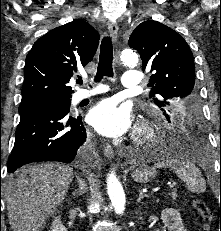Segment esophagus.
Instances as JSON below:
<instances>
[{
	"mask_svg": "<svg viewBox=\"0 0 221 231\" xmlns=\"http://www.w3.org/2000/svg\"><path fill=\"white\" fill-rule=\"evenodd\" d=\"M108 30H109V34H110L113 42H116L117 37H118V25H117V23L116 22H110L108 24ZM103 152H104V155L109 159H112L115 155L113 147L108 143L103 144Z\"/></svg>",
	"mask_w": 221,
	"mask_h": 231,
	"instance_id": "34e87169",
	"label": "esophagus"
}]
</instances>
